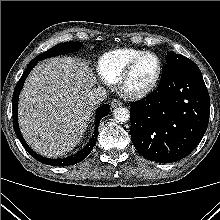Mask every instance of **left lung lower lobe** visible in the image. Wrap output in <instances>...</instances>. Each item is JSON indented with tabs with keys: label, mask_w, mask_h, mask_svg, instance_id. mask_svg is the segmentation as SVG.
Instances as JSON below:
<instances>
[{
	"label": "left lung lower lobe",
	"mask_w": 220,
	"mask_h": 220,
	"mask_svg": "<svg viewBox=\"0 0 220 220\" xmlns=\"http://www.w3.org/2000/svg\"><path fill=\"white\" fill-rule=\"evenodd\" d=\"M130 106L132 142L143 157L155 162L186 157L208 127V90L191 60L167 63L156 91Z\"/></svg>",
	"instance_id": "left-lung-lower-lobe-1"
}]
</instances>
